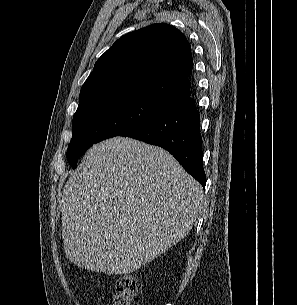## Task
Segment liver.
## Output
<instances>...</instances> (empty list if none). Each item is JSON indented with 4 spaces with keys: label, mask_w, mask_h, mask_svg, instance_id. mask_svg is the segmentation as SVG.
<instances>
[{
    "label": "liver",
    "mask_w": 297,
    "mask_h": 305,
    "mask_svg": "<svg viewBox=\"0 0 297 305\" xmlns=\"http://www.w3.org/2000/svg\"><path fill=\"white\" fill-rule=\"evenodd\" d=\"M62 196V238L76 266L106 274L139 269L183 239L203 189L164 149L114 137L92 146Z\"/></svg>",
    "instance_id": "6515ba94"
}]
</instances>
